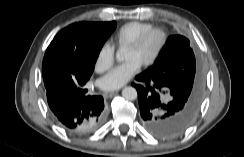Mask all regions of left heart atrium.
Here are the masks:
<instances>
[{
    "label": "left heart atrium",
    "instance_id": "39dd6f15",
    "mask_svg": "<svg viewBox=\"0 0 244 157\" xmlns=\"http://www.w3.org/2000/svg\"><path fill=\"white\" fill-rule=\"evenodd\" d=\"M140 67L139 62L128 60L111 70L101 80L100 85L106 91L120 89L140 70Z\"/></svg>",
    "mask_w": 244,
    "mask_h": 157
}]
</instances>
